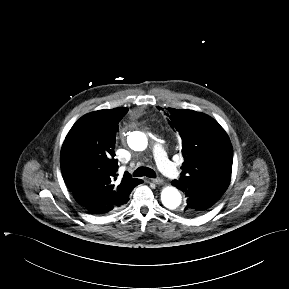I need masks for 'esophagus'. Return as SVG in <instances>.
<instances>
[{
    "instance_id": "obj_1",
    "label": "esophagus",
    "mask_w": 289,
    "mask_h": 289,
    "mask_svg": "<svg viewBox=\"0 0 289 289\" xmlns=\"http://www.w3.org/2000/svg\"><path fill=\"white\" fill-rule=\"evenodd\" d=\"M151 181L157 185L163 184V180L161 178H153Z\"/></svg>"
}]
</instances>
